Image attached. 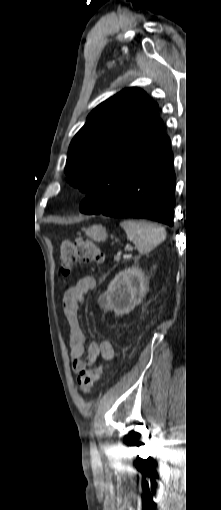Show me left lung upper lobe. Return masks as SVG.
Listing matches in <instances>:
<instances>
[{"instance_id": "1", "label": "left lung upper lobe", "mask_w": 221, "mask_h": 510, "mask_svg": "<svg viewBox=\"0 0 221 510\" xmlns=\"http://www.w3.org/2000/svg\"><path fill=\"white\" fill-rule=\"evenodd\" d=\"M157 108L143 90L126 88L98 105L73 138L65 174L93 208H104L150 158L170 147Z\"/></svg>"}]
</instances>
